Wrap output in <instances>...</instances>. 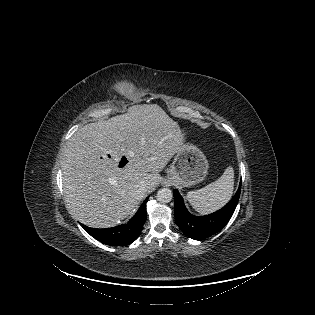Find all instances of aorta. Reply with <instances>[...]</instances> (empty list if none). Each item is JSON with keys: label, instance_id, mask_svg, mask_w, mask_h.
<instances>
[{"label": "aorta", "instance_id": "aorta-1", "mask_svg": "<svg viewBox=\"0 0 315 315\" xmlns=\"http://www.w3.org/2000/svg\"><path fill=\"white\" fill-rule=\"evenodd\" d=\"M157 200L161 203H168L172 200L173 194L169 188H162L157 192Z\"/></svg>", "mask_w": 315, "mask_h": 315}]
</instances>
